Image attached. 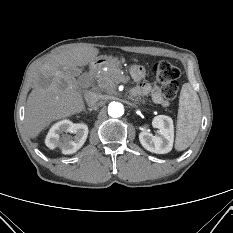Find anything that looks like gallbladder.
Segmentation results:
<instances>
[{
    "instance_id": "bac80fb5",
    "label": "gallbladder",
    "mask_w": 233,
    "mask_h": 233,
    "mask_svg": "<svg viewBox=\"0 0 233 233\" xmlns=\"http://www.w3.org/2000/svg\"><path fill=\"white\" fill-rule=\"evenodd\" d=\"M70 72L75 76H79L81 73L80 69H73V70H70Z\"/></svg>"
}]
</instances>
